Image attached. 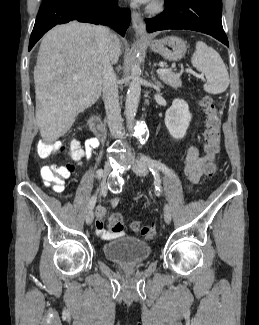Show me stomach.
<instances>
[{
	"label": "stomach",
	"mask_w": 259,
	"mask_h": 325,
	"mask_svg": "<svg viewBox=\"0 0 259 325\" xmlns=\"http://www.w3.org/2000/svg\"><path fill=\"white\" fill-rule=\"evenodd\" d=\"M150 49L168 61L181 60L187 51L184 40L176 36H167L148 42Z\"/></svg>",
	"instance_id": "obj_1"
}]
</instances>
